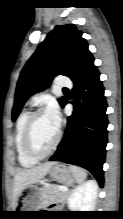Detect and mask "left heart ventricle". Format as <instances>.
Here are the masks:
<instances>
[{
  "label": "left heart ventricle",
  "mask_w": 123,
  "mask_h": 219,
  "mask_svg": "<svg viewBox=\"0 0 123 219\" xmlns=\"http://www.w3.org/2000/svg\"><path fill=\"white\" fill-rule=\"evenodd\" d=\"M58 126L45 112L39 115L33 124L32 142L39 152L46 151L53 143L57 135Z\"/></svg>",
  "instance_id": "b2bd125f"
}]
</instances>
